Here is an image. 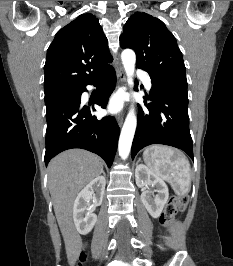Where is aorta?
Masks as SVG:
<instances>
[{
	"instance_id": "762f6f07",
	"label": "aorta",
	"mask_w": 233,
	"mask_h": 266,
	"mask_svg": "<svg viewBox=\"0 0 233 266\" xmlns=\"http://www.w3.org/2000/svg\"><path fill=\"white\" fill-rule=\"evenodd\" d=\"M122 63L126 72L127 81L130 86H133V77L135 71L136 55L133 50L125 49L121 54ZM137 119L134 108H131L127 114L124 125L121 130L118 150L122 159L129 156L133 137L136 130Z\"/></svg>"
}]
</instances>
